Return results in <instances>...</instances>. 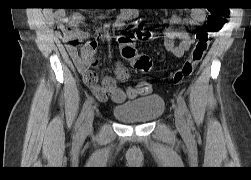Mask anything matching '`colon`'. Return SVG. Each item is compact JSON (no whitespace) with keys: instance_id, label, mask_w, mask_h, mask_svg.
Masks as SVG:
<instances>
[{"instance_id":"5ec220e1","label":"colon","mask_w":251,"mask_h":180,"mask_svg":"<svg viewBox=\"0 0 251 180\" xmlns=\"http://www.w3.org/2000/svg\"><path fill=\"white\" fill-rule=\"evenodd\" d=\"M227 18L228 10L226 9H211L209 11L206 25L196 32V42L190 55L174 74V82L180 83L194 73L209 48L211 35L222 28ZM151 37L150 32L141 29L128 31L118 37L122 58L128 60L138 72H149L152 68V61L147 55L139 54L136 51L135 42L140 39H150Z\"/></svg>"}]
</instances>
